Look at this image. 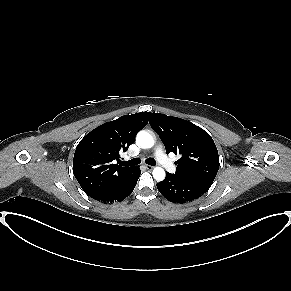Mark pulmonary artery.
<instances>
[{"mask_svg":"<svg viewBox=\"0 0 291 291\" xmlns=\"http://www.w3.org/2000/svg\"><path fill=\"white\" fill-rule=\"evenodd\" d=\"M155 156L159 163L169 172H175V166L168 159L167 155L164 153L162 146H157L155 149Z\"/></svg>","mask_w":291,"mask_h":291,"instance_id":"e3ab8cb5","label":"pulmonary artery"}]
</instances>
